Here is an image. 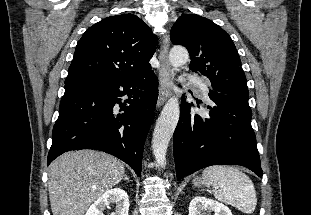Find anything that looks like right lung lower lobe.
<instances>
[{"mask_svg": "<svg viewBox=\"0 0 311 215\" xmlns=\"http://www.w3.org/2000/svg\"><path fill=\"white\" fill-rule=\"evenodd\" d=\"M125 95L128 99L122 103ZM157 98L153 71L126 80L93 78L65 83L48 164L70 150L95 149L121 159L140 176Z\"/></svg>", "mask_w": 311, "mask_h": 215, "instance_id": "98d812e1", "label": "right lung lower lobe"}]
</instances>
